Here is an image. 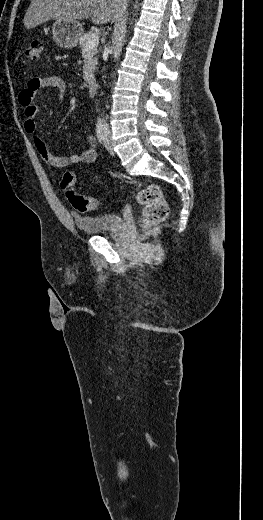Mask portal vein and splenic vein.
<instances>
[{"label": "portal vein and splenic vein", "mask_w": 263, "mask_h": 520, "mask_svg": "<svg viewBox=\"0 0 263 520\" xmlns=\"http://www.w3.org/2000/svg\"><path fill=\"white\" fill-rule=\"evenodd\" d=\"M88 48H93L99 43V35L98 33H94L92 37L88 40Z\"/></svg>", "instance_id": "1"}]
</instances>
